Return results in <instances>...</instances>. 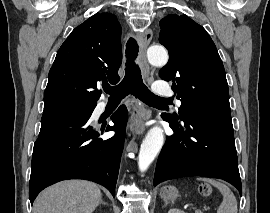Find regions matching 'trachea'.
I'll return each mask as SVG.
<instances>
[{
    "instance_id": "obj_1",
    "label": "trachea",
    "mask_w": 270,
    "mask_h": 213,
    "mask_svg": "<svg viewBox=\"0 0 270 213\" xmlns=\"http://www.w3.org/2000/svg\"><path fill=\"white\" fill-rule=\"evenodd\" d=\"M139 46L134 38H130L126 44V74L123 80L116 86H108L104 91L110 95V99H123L131 92L135 97L145 103L166 102L167 98L154 95L143 83L141 70L135 59L138 56Z\"/></svg>"
}]
</instances>
